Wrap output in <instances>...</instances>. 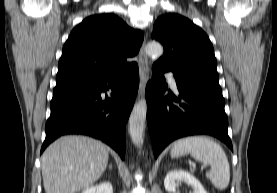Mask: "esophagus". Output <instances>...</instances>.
<instances>
[{
  "mask_svg": "<svg viewBox=\"0 0 277 193\" xmlns=\"http://www.w3.org/2000/svg\"><path fill=\"white\" fill-rule=\"evenodd\" d=\"M139 67H140V85L138 91V97H143L145 94L146 85L148 83L149 76V60L145 53V39L139 51Z\"/></svg>",
  "mask_w": 277,
  "mask_h": 193,
  "instance_id": "obj_1",
  "label": "esophagus"
}]
</instances>
